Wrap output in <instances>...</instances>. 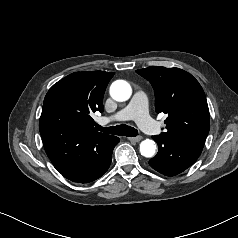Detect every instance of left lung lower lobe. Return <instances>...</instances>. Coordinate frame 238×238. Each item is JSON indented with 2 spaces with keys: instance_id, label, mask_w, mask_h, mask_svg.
I'll use <instances>...</instances> for the list:
<instances>
[{
  "instance_id": "left-lung-lower-lobe-1",
  "label": "left lung lower lobe",
  "mask_w": 238,
  "mask_h": 238,
  "mask_svg": "<svg viewBox=\"0 0 238 238\" xmlns=\"http://www.w3.org/2000/svg\"><path fill=\"white\" fill-rule=\"evenodd\" d=\"M158 144L157 155L149 165L166 176H175L190 167L200 156L202 148L173 139L152 136Z\"/></svg>"
}]
</instances>
